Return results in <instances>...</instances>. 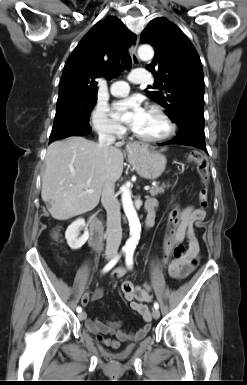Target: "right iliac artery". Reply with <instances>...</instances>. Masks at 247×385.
<instances>
[{
    "label": "right iliac artery",
    "instance_id": "82829eb1",
    "mask_svg": "<svg viewBox=\"0 0 247 385\" xmlns=\"http://www.w3.org/2000/svg\"><path fill=\"white\" fill-rule=\"evenodd\" d=\"M123 253V252H122ZM121 253V254H122ZM121 254L117 255L116 257H114L104 268H103V273L105 272H108L109 270H111L115 265L116 263L118 262V260L120 259L121 257ZM76 311L78 313L82 312V308L80 306L77 307Z\"/></svg>",
    "mask_w": 247,
    "mask_h": 385
}]
</instances>
